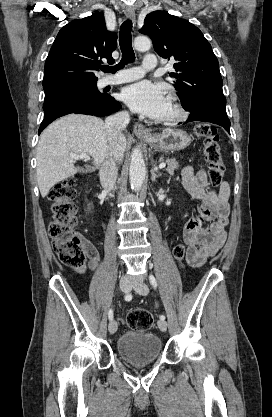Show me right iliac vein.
Listing matches in <instances>:
<instances>
[{"label": "right iliac vein", "mask_w": 272, "mask_h": 417, "mask_svg": "<svg viewBox=\"0 0 272 417\" xmlns=\"http://www.w3.org/2000/svg\"><path fill=\"white\" fill-rule=\"evenodd\" d=\"M120 289L123 292L128 293L131 289V281L127 278H122L120 280ZM117 327V322L115 320H111L108 326L110 334H114L117 331Z\"/></svg>", "instance_id": "63e3f726"}]
</instances>
